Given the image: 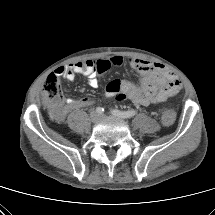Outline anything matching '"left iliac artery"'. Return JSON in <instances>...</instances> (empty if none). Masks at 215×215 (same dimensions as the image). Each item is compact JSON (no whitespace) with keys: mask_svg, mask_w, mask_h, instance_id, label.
Segmentation results:
<instances>
[{"mask_svg":"<svg viewBox=\"0 0 215 215\" xmlns=\"http://www.w3.org/2000/svg\"><path fill=\"white\" fill-rule=\"evenodd\" d=\"M112 115L114 116H117L119 118H131L133 116H135L137 114V111L136 110H130V111H120V110H117V109H113L111 111Z\"/></svg>","mask_w":215,"mask_h":215,"instance_id":"1","label":"left iliac artery"}]
</instances>
